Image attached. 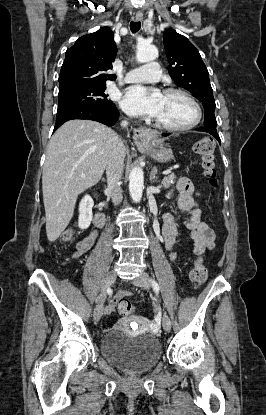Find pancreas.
<instances>
[{
    "label": "pancreas",
    "instance_id": "1",
    "mask_svg": "<svg viewBox=\"0 0 266 415\" xmlns=\"http://www.w3.org/2000/svg\"><path fill=\"white\" fill-rule=\"evenodd\" d=\"M175 179H176V176L174 174L165 176L161 182V185L164 188H169L174 183Z\"/></svg>",
    "mask_w": 266,
    "mask_h": 415
}]
</instances>
